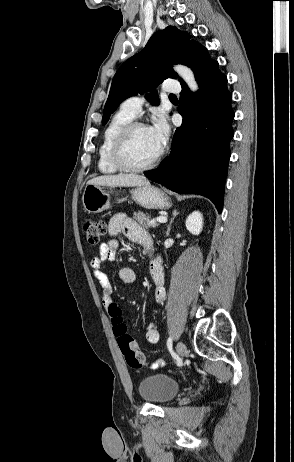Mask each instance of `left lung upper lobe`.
I'll list each match as a JSON object with an SVG mask.
<instances>
[{"instance_id": "obj_1", "label": "left lung upper lobe", "mask_w": 294, "mask_h": 462, "mask_svg": "<svg viewBox=\"0 0 294 462\" xmlns=\"http://www.w3.org/2000/svg\"><path fill=\"white\" fill-rule=\"evenodd\" d=\"M210 60L207 49L190 40L188 33L172 26L156 32L145 48L125 61L116 72L104 107L102 124L107 123L126 98L153 90L166 78L177 79L173 64H185L196 74ZM179 81L184 82L181 78ZM146 98L153 105H159L156 94L149 93Z\"/></svg>"}]
</instances>
